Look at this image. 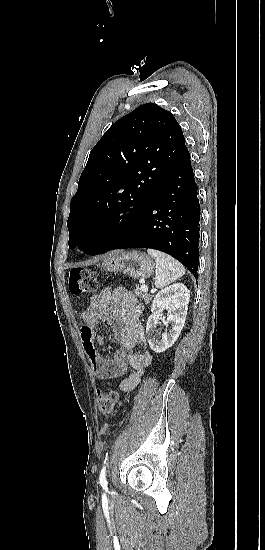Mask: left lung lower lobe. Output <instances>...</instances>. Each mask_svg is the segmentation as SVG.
<instances>
[{
	"label": "left lung lower lobe",
	"mask_w": 265,
	"mask_h": 550,
	"mask_svg": "<svg viewBox=\"0 0 265 550\" xmlns=\"http://www.w3.org/2000/svg\"><path fill=\"white\" fill-rule=\"evenodd\" d=\"M199 220L197 186L187 151L136 223L98 254L113 249L152 248L173 256L196 277Z\"/></svg>",
	"instance_id": "left-lung-lower-lobe-1"
}]
</instances>
